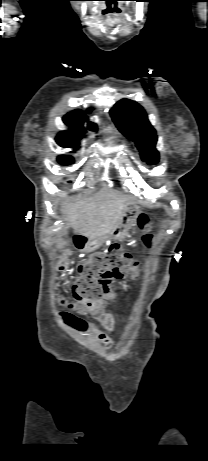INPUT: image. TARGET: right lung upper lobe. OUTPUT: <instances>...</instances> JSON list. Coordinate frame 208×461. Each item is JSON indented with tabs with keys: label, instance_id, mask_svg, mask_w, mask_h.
<instances>
[{
	"label": "right lung upper lobe",
	"instance_id": "obj_1",
	"mask_svg": "<svg viewBox=\"0 0 208 461\" xmlns=\"http://www.w3.org/2000/svg\"><path fill=\"white\" fill-rule=\"evenodd\" d=\"M91 109L84 111L81 110H75L72 112H69L67 115L63 117V121L66 125L72 126L76 129H71L67 131H62L59 133L60 136L68 137L71 139H79V137L83 134L85 131V128L83 127V123L85 120H87V117L84 115L85 113L90 112ZM88 129L90 130H96V125L94 123L88 122Z\"/></svg>",
	"mask_w": 208,
	"mask_h": 461
}]
</instances>
